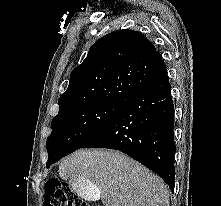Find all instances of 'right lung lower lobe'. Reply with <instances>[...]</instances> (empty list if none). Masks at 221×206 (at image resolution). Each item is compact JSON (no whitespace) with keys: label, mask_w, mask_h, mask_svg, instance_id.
I'll list each match as a JSON object with an SVG mask.
<instances>
[{"label":"right lung lower lobe","mask_w":221,"mask_h":206,"mask_svg":"<svg viewBox=\"0 0 221 206\" xmlns=\"http://www.w3.org/2000/svg\"><path fill=\"white\" fill-rule=\"evenodd\" d=\"M81 148L119 150L175 185L174 105L168 75L128 101L120 113Z\"/></svg>","instance_id":"obj_1"}]
</instances>
